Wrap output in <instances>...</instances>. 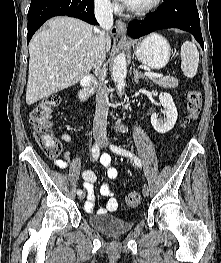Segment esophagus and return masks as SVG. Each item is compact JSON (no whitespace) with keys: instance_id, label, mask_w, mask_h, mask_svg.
Wrapping results in <instances>:
<instances>
[{"instance_id":"esophagus-1","label":"esophagus","mask_w":221,"mask_h":263,"mask_svg":"<svg viewBox=\"0 0 221 263\" xmlns=\"http://www.w3.org/2000/svg\"><path fill=\"white\" fill-rule=\"evenodd\" d=\"M116 25L118 36L121 38H126V23L121 19H118L116 21Z\"/></svg>"}]
</instances>
